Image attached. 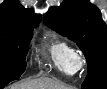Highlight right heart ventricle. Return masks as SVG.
Masks as SVG:
<instances>
[{
	"label": "right heart ventricle",
	"instance_id": "right-heart-ventricle-1",
	"mask_svg": "<svg viewBox=\"0 0 107 89\" xmlns=\"http://www.w3.org/2000/svg\"><path fill=\"white\" fill-rule=\"evenodd\" d=\"M48 51L53 64L60 72L66 75L76 73L73 59L77 51L70 43L65 40L55 39L49 44Z\"/></svg>",
	"mask_w": 107,
	"mask_h": 89
}]
</instances>
